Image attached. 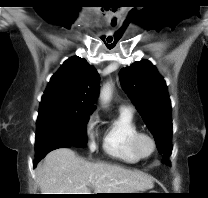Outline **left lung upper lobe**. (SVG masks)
Returning a JSON list of instances; mask_svg holds the SVG:
<instances>
[{"label": "left lung upper lobe", "mask_w": 208, "mask_h": 198, "mask_svg": "<svg viewBox=\"0 0 208 198\" xmlns=\"http://www.w3.org/2000/svg\"><path fill=\"white\" fill-rule=\"evenodd\" d=\"M121 84L156 141L162 162L170 165L172 151L171 101L167 86L148 60H141L120 71Z\"/></svg>", "instance_id": "obj_1"}]
</instances>
